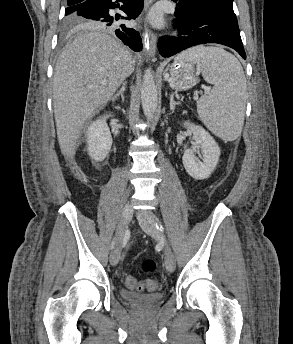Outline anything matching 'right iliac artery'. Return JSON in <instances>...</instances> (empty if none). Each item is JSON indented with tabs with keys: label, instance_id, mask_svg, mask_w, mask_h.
I'll return each instance as SVG.
<instances>
[{
	"label": "right iliac artery",
	"instance_id": "right-iliac-artery-1",
	"mask_svg": "<svg viewBox=\"0 0 293 344\" xmlns=\"http://www.w3.org/2000/svg\"><path fill=\"white\" fill-rule=\"evenodd\" d=\"M113 246H114V241L111 243V248H113Z\"/></svg>",
	"mask_w": 293,
	"mask_h": 344
}]
</instances>
